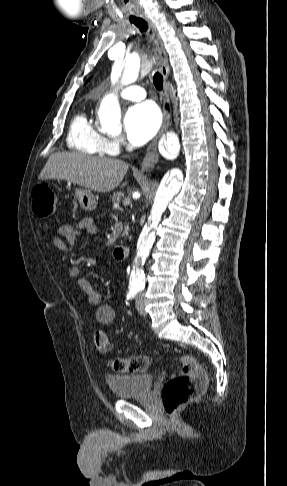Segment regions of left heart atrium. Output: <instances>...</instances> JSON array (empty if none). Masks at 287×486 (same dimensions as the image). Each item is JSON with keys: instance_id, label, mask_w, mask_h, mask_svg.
I'll list each match as a JSON object with an SVG mask.
<instances>
[{"instance_id": "1", "label": "left heart atrium", "mask_w": 287, "mask_h": 486, "mask_svg": "<svg viewBox=\"0 0 287 486\" xmlns=\"http://www.w3.org/2000/svg\"><path fill=\"white\" fill-rule=\"evenodd\" d=\"M161 122L158 108L150 102L132 106L124 117V129L130 144L140 146L157 132Z\"/></svg>"}]
</instances>
